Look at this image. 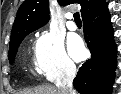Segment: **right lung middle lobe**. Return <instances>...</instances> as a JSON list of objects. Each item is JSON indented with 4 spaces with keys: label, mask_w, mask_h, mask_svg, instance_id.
Instances as JSON below:
<instances>
[{
    "label": "right lung middle lobe",
    "mask_w": 121,
    "mask_h": 94,
    "mask_svg": "<svg viewBox=\"0 0 121 94\" xmlns=\"http://www.w3.org/2000/svg\"><path fill=\"white\" fill-rule=\"evenodd\" d=\"M32 31H34V30L31 29V30L24 31V32L18 34L14 39L10 40V49H9V54H8L10 63H12L14 61L16 53H17V49H18L21 41L24 39V37L26 35H28Z\"/></svg>",
    "instance_id": "right-lung-middle-lobe-1"
}]
</instances>
